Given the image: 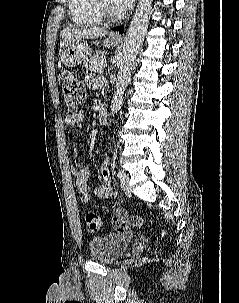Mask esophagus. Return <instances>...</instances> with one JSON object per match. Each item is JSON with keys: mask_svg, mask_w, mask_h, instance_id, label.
Returning <instances> with one entry per match:
<instances>
[{"mask_svg": "<svg viewBox=\"0 0 239 303\" xmlns=\"http://www.w3.org/2000/svg\"><path fill=\"white\" fill-rule=\"evenodd\" d=\"M111 37H112L113 39H116V40H121V39H122V36H121L120 34H118V33L112 34Z\"/></svg>", "mask_w": 239, "mask_h": 303, "instance_id": "obj_1", "label": "esophagus"}]
</instances>
